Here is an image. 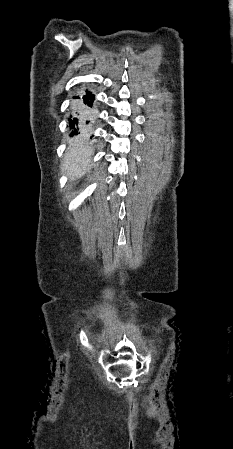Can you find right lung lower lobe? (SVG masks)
Listing matches in <instances>:
<instances>
[{"label":"right lung lower lobe","instance_id":"98d812e1","mask_svg":"<svg viewBox=\"0 0 233 449\" xmlns=\"http://www.w3.org/2000/svg\"><path fill=\"white\" fill-rule=\"evenodd\" d=\"M73 98L75 99L73 102V109L77 117L71 116V118H69V126L76 132L78 123L88 124L90 122L89 119L94 115V95L86 90L81 95L74 96Z\"/></svg>","mask_w":233,"mask_h":449}]
</instances>
